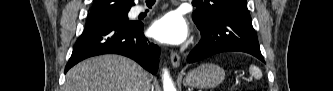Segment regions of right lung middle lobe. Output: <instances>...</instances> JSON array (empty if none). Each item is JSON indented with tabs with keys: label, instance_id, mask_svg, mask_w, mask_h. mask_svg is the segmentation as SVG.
Here are the masks:
<instances>
[{
	"label": "right lung middle lobe",
	"instance_id": "dd1d6c3e",
	"mask_svg": "<svg viewBox=\"0 0 333 91\" xmlns=\"http://www.w3.org/2000/svg\"><path fill=\"white\" fill-rule=\"evenodd\" d=\"M98 21H117V22H129L128 20V11L122 12L120 14L104 17L97 19Z\"/></svg>",
	"mask_w": 333,
	"mask_h": 91
}]
</instances>
